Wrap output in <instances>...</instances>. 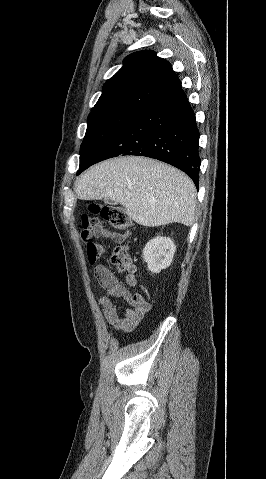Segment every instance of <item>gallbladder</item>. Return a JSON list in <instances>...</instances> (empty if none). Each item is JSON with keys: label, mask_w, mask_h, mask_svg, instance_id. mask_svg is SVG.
<instances>
[{"label": "gallbladder", "mask_w": 266, "mask_h": 479, "mask_svg": "<svg viewBox=\"0 0 266 479\" xmlns=\"http://www.w3.org/2000/svg\"><path fill=\"white\" fill-rule=\"evenodd\" d=\"M104 203H106V204H112V205H116V204H117L116 201H114V200H112V199H110V198H105V199H104Z\"/></svg>", "instance_id": "obj_1"}]
</instances>
